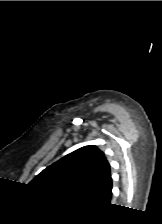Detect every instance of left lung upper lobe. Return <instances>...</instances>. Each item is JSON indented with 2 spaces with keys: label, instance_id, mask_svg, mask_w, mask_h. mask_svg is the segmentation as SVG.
<instances>
[{
  "label": "left lung upper lobe",
  "instance_id": "1",
  "mask_svg": "<svg viewBox=\"0 0 162 224\" xmlns=\"http://www.w3.org/2000/svg\"><path fill=\"white\" fill-rule=\"evenodd\" d=\"M111 177L110 165L96 146H84L38 174L30 184L58 197L87 199Z\"/></svg>",
  "mask_w": 162,
  "mask_h": 224
}]
</instances>
